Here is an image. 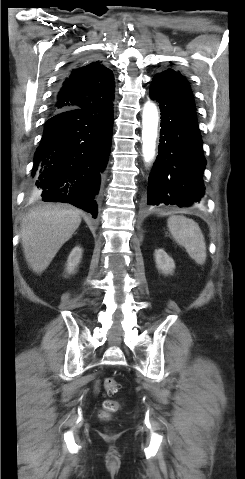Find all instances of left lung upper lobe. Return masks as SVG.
Returning <instances> with one entry per match:
<instances>
[{
  "instance_id": "5c2ea615",
  "label": "left lung upper lobe",
  "mask_w": 245,
  "mask_h": 479,
  "mask_svg": "<svg viewBox=\"0 0 245 479\" xmlns=\"http://www.w3.org/2000/svg\"><path fill=\"white\" fill-rule=\"evenodd\" d=\"M178 75H181V74L179 72L169 68V69H165L162 72L156 74L154 78L172 77V76H178Z\"/></svg>"
}]
</instances>
